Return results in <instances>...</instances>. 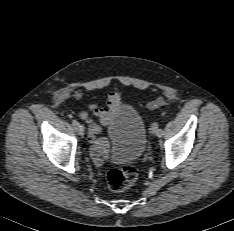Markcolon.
Wrapping results in <instances>:
<instances>
[{
	"label": "colon",
	"mask_w": 234,
	"mask_h": 231,
	"mask_svg": "<svg viewBox=\"0 0 234 231\" xmlns=\"http://www.w3.org/2000/svg\"><path fill=\"white\" fill-rule=\"evenodd\" d=\"M137 171L133 165L127 164L113 168L108 172L107 183L112 191H123L136 181Z\"/></svg>",
	"instance_id": "1"
}]
</instances>
